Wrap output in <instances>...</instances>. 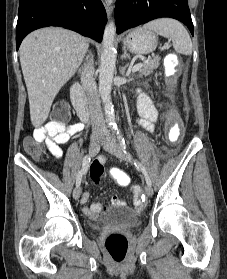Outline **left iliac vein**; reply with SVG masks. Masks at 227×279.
I'll return each mask as SVG.
<instances>
[{
    "mask_svg": "<svg viewBox=\"0 0 227 279\" xmlns=\"http://www.w3.org/2000/svg\"><path fill=\"white\" fill-rule=\"evenodd\" d=\"M103 148L109 153L115 155L121 160L132 162L131 157L122 150L121 146L115 141V139L111 136L108 137L107 142L103 145ZM144 192L146 196L151 197L153 195L152 187L149 185L145 186Z\"/></svg>",
    "mask_w": 227,
    "mask_h": 279,
    "instance_id": "left-iliac-vein-1",
    "label": "left iliac vein"
}]
</instances>
